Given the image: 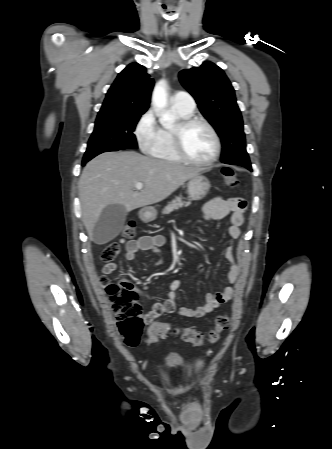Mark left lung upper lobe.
Masks as SVG:
<instances>
[{
  "mask_svg": "<svg viewBox=\"0 0 332 449\" xmlns=\"http://www.w3.org/2000/svg\"><path fill=\"white\" fill-rule=\"evenodd\" d=\"M179 78L221 138V161L251 170L241 112L236 103L234 88L224 71L206 61L200 67L182 70Z\"/></svg>",
  "mask_w": 332,
  "mask_h": 449,
  "instance_id": "obj_1",
  "label": "left lung upper lobe"
}]
</instances>
